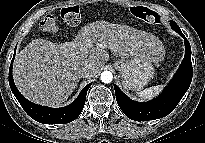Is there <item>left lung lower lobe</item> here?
Wrapping results in <instances>:
<instances>
[{"instance_id":"left-lung-lower-lobe-1","label":"left lung lower lobe","mask_w":205,"mask_h":143,"mask_svg":"<svg viewBox=\"0 0 205 143\" xmlns=\"http://www.w3.org/2000/svg\"><path fill=\"white\" fill-rule=\"evenodd\" d=\"M171 27L184 38L185 57L178 71L162 94L152 101L139 103L131 100L114 85L119 107L124 114L132 120L148 121L167 116L175 109L191 84L193 69L190 43L175 22L171 21Z\"/></svg>"}]
</instances>
